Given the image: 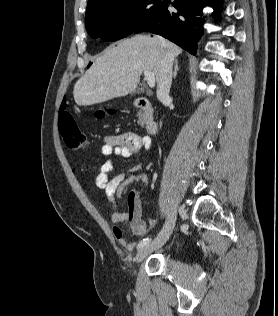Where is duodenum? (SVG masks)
Returning a JSON list of instances; mask_svg holds the SVG:
<instances>
[{"instance_id": "obj_1", "label": "duodenum", "mask_w": 278, "mask_h": 316, "mask_svg": "<svg viewBox=\"0 0 278 316\" xmlns=\"http://www.w3.org/2000/svg\"><path fill=\"white\" fill-rule=\"evenodd\" d=\"M133 105L146 112H149L151 110V102L149 99L145 97H137L133 99ZM157 130H158V123L153 119H149L146 123V131L149 134H155Z\"/></svg>"}]
</instances>
